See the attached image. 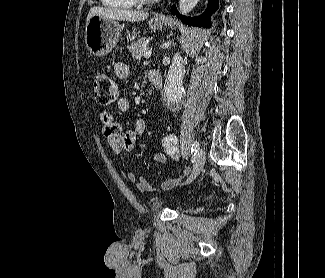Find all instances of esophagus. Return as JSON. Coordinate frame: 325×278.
Listing matches in <instances>:
<instances>
[{
  "instance_id": "34e87169",
  "label": "esophagus",
  "mask_w": 325,
  "mask_h": 278,
  "mask_svg": "<svg viewBox=\"0 0 325 278\" xmlns=\"http://www.w3.org/2000/svg\"><path fill=\"white\" fill-rule=\"evenodd\" d=\"M156 19L162 20L164 17L162 15H156Z\"/></svg>"
}]
</instances>
